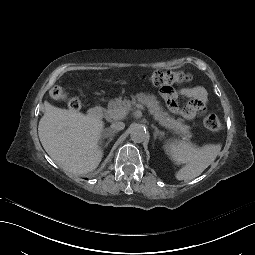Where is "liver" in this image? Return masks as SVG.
Returning a JSON list of instances; mask_svg holds the SVG:
<instances>
[{
  "mask_svg": "<svg viewBox=\"0 0 255 255\" xmlns=\"http://www.w3.org/2000/svg\"><path fill=\"white\" fill-rule=\"evenodd\" d=\"M38 134L48 155L64 170L87 174L101 162L98 147L103 121L82 113L61 109L44 102Z\"/></svg>",
  "mask_w": 255,
  "mask_h": 255,
  "instance_id": "liver-1",
  "label": "liver"
}]
</instances>
